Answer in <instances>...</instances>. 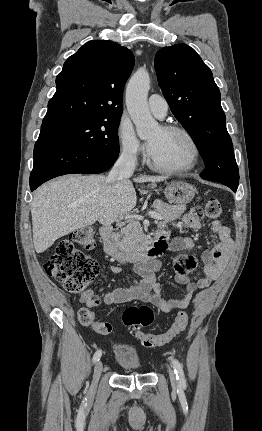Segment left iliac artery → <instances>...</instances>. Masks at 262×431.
I'll return each mask as SVG.
<instances>
[{
	"label": "left iliac artery",
	"mask_w": 262,
	"mask_h": 431,
	"mask_svg": "<svg viewBox=\"0 0 262 431\" xmlns=\"http://www.w3.org/2000/svg\"><path fill=\"white\" fill-rule=\"evenodd\" d=\"M171 360H172L174 372L176 374V378L179 381V385L182 387H185L186 380H185V375H184V371H183L181 363L178 360L173 359V358H171Z\"/></svg>",
	"instance_id": "1"
}]
</instances>
